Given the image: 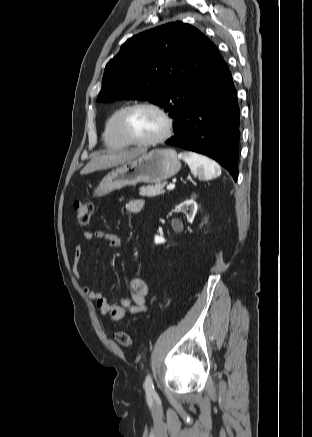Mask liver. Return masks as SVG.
<instances>
[{
    "instance_id": "liver-1",
    "label": "liver",
    "mask_w": 312,
    "mask_h": 437,
    "mask_svg": "<svg viewBox=\"0 0 312 437\" xmlns=\"http://www.w3.org/2000/svg\"><path fill=\"white\" fill-rule=\"evenodd\" d=\"M145 152L146 151L143 149H131V150L113 151L107 154H97L81 170L80 174L81 175L90 174L97 170L108 169L121 164H125L139 157Z\"/></svg>"
}]
</instances>
